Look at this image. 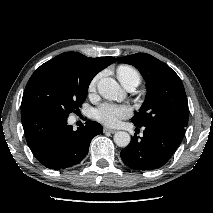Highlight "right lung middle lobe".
<instances>
[{"mask_svg":"<svg viewBox=\"0 0 213 213\" xmlns=\"http://www.w3.org/2000/svg\"><path fill=\"white\" fill-rule=\"evenodd\" d=\"M91 80L78 68L47 61L30 77L21 106H38L68 118L86 100Z\"/></svg>","mask_w":213,"mask_h":213,"instance_id":"1","label":"right lung middle lobe"}]
</instances>
